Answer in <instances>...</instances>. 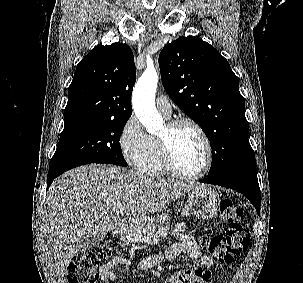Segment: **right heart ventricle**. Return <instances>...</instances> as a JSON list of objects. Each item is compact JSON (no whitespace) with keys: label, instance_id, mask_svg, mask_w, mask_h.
<instances>
[{"label":"right heart ventricle","instance_id":"e07e8e85","mask_svg":"<svg viewBox=\"0 0 303 283\" xmlns=\"http://www.w3.org/2000/svg\"><path fill=\"white\" fill-rule=\"evenodd\" d=\"M137 169L141 174L150 177H165L170 175L163 164L159 142L156 137H150L148 150L137 164Z\"/></svg>","mask_w":303,"mask_h":283}]
</instances>
